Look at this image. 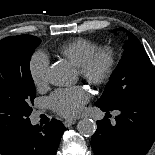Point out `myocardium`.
Masks as SVG:
<instances>
[{
  "label": "myocardium",
  "mask_w": 155,
  "mask_h": 155,
  "mask_svg": "<svg viewBox=\"0 0 155 155\" xmlns=\"http://www.w3.org/2000/svg\"><path fill=\"white\" fill-rule=\"evenodd\" d=\"M117 66V53L113 47L104 46L93 52L78 67L82 78L93 85L107 83L113 76Z\"/></svg>",
  "instance_id": "1"
}]
</instances>
